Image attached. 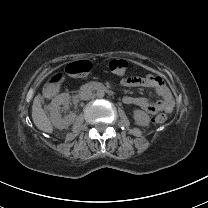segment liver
<instances>
[{"mask_svg":"<svg viewBox=\"0 0 208 208\" xmlns=\"http://www.w3.org/2000/svg\"><path fill=\"white\" fill-rule=\"evenodd\" d=\"M44 101L43 96L38 93L32 104V120L38 130L48 134H53V125L47 114L45 113L42 102Z\"/></svg>","mask_w":208,"mask_h":208,"instance_id":"obj_1","label":"liver"}]
</instances>
